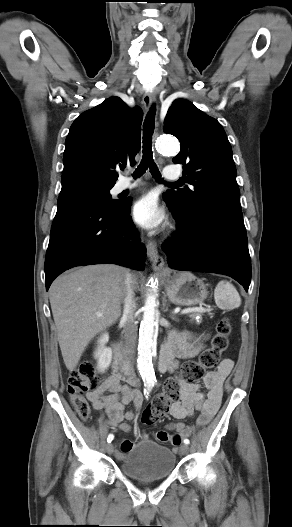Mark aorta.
<instances>
[{"instance_id":"aorta-1","label":"aorta","mask_w":292,"mask_h":527,"mask_svg":"<svg viewBox=\"0 0 292 527\" xmlns=\"http://www.w3.org/2000/svg\"><path fill=\"white\" fill-rule=\"evenodd\" d=\"M157 150L164 154H176L180 146L178 141L171 136H162L156 142ZM158 311L156 298L150 293L147 295L143 307V318L139 329L137 368L143 381L154 384L156 381L152 360L156 356L158 336Z\"/></svg>"}]
</instances>
